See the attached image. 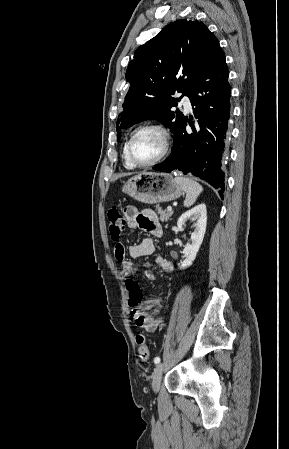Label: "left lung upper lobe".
<instances>
[{
	"instance_id": "left-lung-upper-lobe-1",
	"label": "left lung upper lobe",
	"mask_w": 289,
	"mask_h": 449,
	"mask_svg": "<svg viewBox=\"0 0 289 449\" xmlns=\"http://www.w3.org/2000/svg\"><path fill=\"white\" fill-rule=\"evenodd\" d=\"M218 47L217 38L203 23L185 19L167 25L140 46L126 71L130 88L117 120V140L122 128L147 119L160 121L174 133L184 116L178 110L171 111L179 101L172 95L177 90L188 96Z\"/></svg>"
}]
</instances>
